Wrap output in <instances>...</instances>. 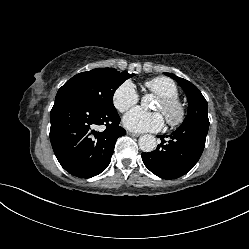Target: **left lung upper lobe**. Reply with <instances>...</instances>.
Masks as SVG:
<instances>
[{
    "label": "left lung upper lobe",
    "instance_id": "1",
    "mask_svg": "<svg viewBox=\"0 0 249 249\" xmlns=\"http://www.w3.org/2000/svg\"><path fill=\"white\" fill-rule=\"evenodd\" d=\"M165 74L176 80L186 93L188 99V113L182 125L188 124L198 119L208 120V104L199 89L191 82L172 73Z\"/></svg>",
    "mask_w": 249,
    "mask_h": 249
}]
</instances>
